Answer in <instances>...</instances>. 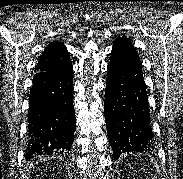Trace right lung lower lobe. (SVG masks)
<instances>
[{
	"mask_svg": "<svg viewBox=\"0 0 183 179\" xmlns=\"http://www.w3.org/2000/svg\"><path fill=\"white\" fill-rule=\"evenodd\" d=\"M72 70L36 72L29 95L26 159L70 150L76 129Z\"/></svg>",
	"mask_w": 183,
	"mask_h": 179,
	"instance_id": "obj_1",
	"label": "right lung lower lobe"
}]
</instances>
